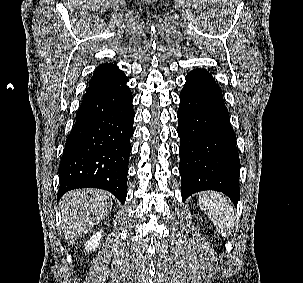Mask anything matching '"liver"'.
Segmentation results:
<instances>
[{
  "label": "liver",
  "mask_w": 303,
  "mask_h": 283,
  "mask_svg": "<svg viewBox=\"0 0 303 283\" xmlns=\"http://www.w3.org/2000/svg\"><path fill=\"white\" fill-rule=\"evenodd\" d=\"M111 194L99 189L68 192L61 200L62 228L71 244L81 239L112 210Z\"/></svg>",
  "instance_id": "1"
}]
</instances>
